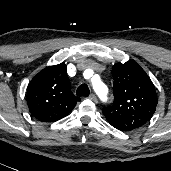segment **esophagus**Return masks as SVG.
I'll return each instance as SVG.
<instances>
[{
    "instance_id": "obj_1",
    "label": "esophagus",
    "mask_w": 171,
    "mask_h": 171,
    "mask_svg": "<svg viewBox=\"0 0 171 171\" xmlns=\"http://www.w3.org/2000/svg\"><path fill=\"white\" fill-rule=\"evenodd\" d=\"M89 98L93 100L94 102H97V97L95 94H90Z\"/></svg>"
}]
</instances>
